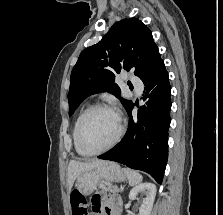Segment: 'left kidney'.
<instances>
[{"label":"left kidney","instance_id":"1","mask_svg":"<svg viewBox=\"0 0 223 215\" xmlns=\"http://www.w3.org/2000/svg\"><path fill=\"white\" fill-rule=\"evenodd\" d=\"M145 189H147V197H144L138 215H150L156 195V185L154 183H140V185H135L129 193V199H136L137 193H141Z\"/></svg>","mask_w":223,"mask_h":215}]
</instances>
